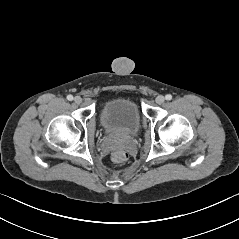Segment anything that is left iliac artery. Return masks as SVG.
Masks as SVG:
<instances>
[{
  "instance_id": "44dca946",
  "label": "left iliac artery",
  "mask_w": 239,
  "mask_h": 239,
  "mask_svg": "<svg viewBox=\"0 0 239 239\" xmlns=\"http://www.w3.org/2000/svg\"><path fill=\"white\" fill-rule=\"evenodd\" d=\"M165 99L168 100V101H170V100L172 99V95H171V94H167V95L165 96Z\"/></svg>"
}]
</instances>
